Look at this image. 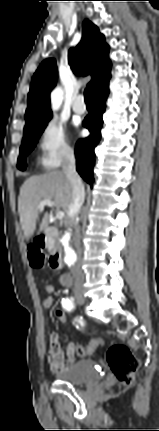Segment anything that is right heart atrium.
<instances>
[{
  "instance_id": "right-heart-atrium-1",
  "label": "right heart atrium",
  "mask_w": 159,
  "mask_h": 431,
  "mask_svg": "<svg viewBox=\"0 0 159 431\" xmlns=\"http://www.w3.org/2000/svg\"><path fill=\"white\" fill-rule=\"evenodd\" d=\"M39 162L45 169H55L73 155L64 126L57 119H49L38 136Z\"/></svg>"
}]
</instances>
